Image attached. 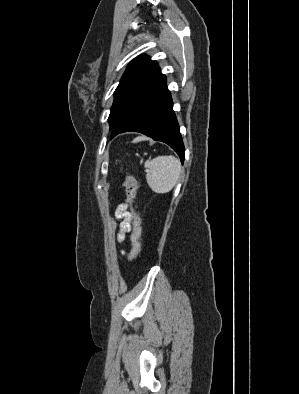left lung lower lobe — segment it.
Listing matches in <instances>:
<instances>
[{"mask_svg": "<svg viewBox=\"0 0 299 394\" xmlns=\"http://www.w3.org/2000/svg\"><path fill=\"white\" fill-rule=\"evenodd\" d=\"M123 132H140L168 144L184 162L185 148L164 75L154 81L113 128L111 139Z\"/></svg>", "mask_w": 299, "mask_h": 394, "instance_id": "1", "label": "left lung lower lobe"}]
</instances>
